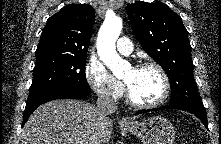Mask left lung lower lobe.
Wrapping results in <instances>:
<instances>
[{"instance_id":"obj_1","label":"left lung lower lobe","mask_w":221,"mask_h":144,"mask_svg":"<svg viewBox=\"0 0 221 144\" xmlns=\"http://www.w3.org/2000/svg\"><path fill=\"white\" fill-rule=\"evenodd\" d=\"M161 109H178V110H184L187 112H190L197 116L204 126L208 128V121L206 117V111L204 106H197L193 104H188V103H170L169 105H165L160 108H153V109H147V110H140L135 113V115L150 112V111H155V110H161Z\"/></svg>"}]
</instances>
